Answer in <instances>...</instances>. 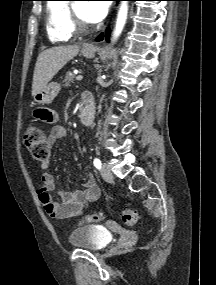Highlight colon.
Instances as JSON below:
<instances>
[{
  "mask_svg": "<svg viewBox=\"0 0 216 285\" xmlns=\"http://www.w3.org/2000/svg\"><path fill=\"white\" fill-rule=\"evenodd\" d=\"M46 132L42 127L32 126L27 129L24 135V144L32 157L38 161H45L49 159L50 148L46 140ZM120 218L124 224L130 228L135 227L137 223V212L132 208H124L119 213ZM103 219L102 214H92L86 216L80 221V224H90L100 222Z\"/></svg>",
  "mask_w": 216,
  "mask_h": 285,
  "instance_id": "5ec220e1",
  "label": "colon"
}]
</instances>
